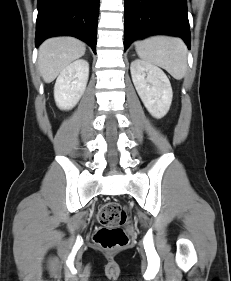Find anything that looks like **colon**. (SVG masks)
<instances>
[{
	"instance_id": "obj_1",
	"label": "colon",
	"mask_w": 231,
	"mask_h": 281,
	"mask_svg": "<svg viewBox=\"0 0 231 281\" xmlns=\"http://www.w3.org/2000/svg\"><path fill=\"white\" fill-rule=\"evenodd\" d=\"M98 218L102 226L96 231L94 241L106 250L124 247L128 237L121 226L127 219V209L118 202H109L101 206Z\"/></svg>"
}]
</instances>
